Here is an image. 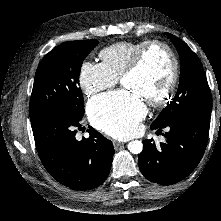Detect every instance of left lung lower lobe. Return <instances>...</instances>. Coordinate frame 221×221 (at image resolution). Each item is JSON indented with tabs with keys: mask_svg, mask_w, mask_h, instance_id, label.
I'll use <instances>...</instances> for the list:
<instances>
[{
	"mask_svg": "<svg viewBox=\"0 0 221 221\" xmlns=\"http://www.w3.org/2000/svg\"><path fill=\"white\" fill-rule=\"evenodd\" d=\"M166 141L156 145L144 140L139 154V167L148 180L174 184L187 177L200 162L206 149L210 116L191 114L167 124ZM151 129L163 128L151 125Z\"/></svg>",
	"mask_w": 221,
	"mask_h": 221,
	"instance_id": "0a47b994",
	"label": "left lung lower lobe"
}]
</instances>
